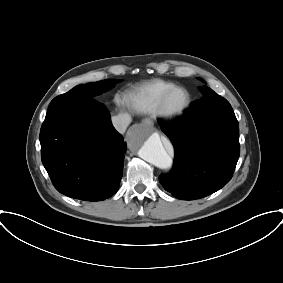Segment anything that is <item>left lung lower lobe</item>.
I'll use <instances>...</instances> for the list:
<instances>
[{
    "label": "left lung lower lobe",
    "instance_id": "1",
    "mask_svg": "<svg viewBox=\"0 0 283 283\" xmlns=\"http://www.w3.org/2000/svg\"><path fill=\"white\" fill-rule=\"evenodd\" d=\"M234 112L229 102L213 93L195 101L182 117L159 120L174 145L171 171L160 183L178 199L194 200L221 189L233 176L239 155V132L226 130Z\"/></svg>",
    "mask_w": 283,
    "mask_h": 283
}]
</instances>
